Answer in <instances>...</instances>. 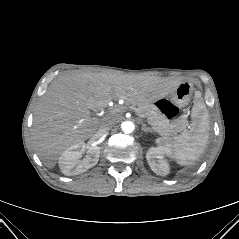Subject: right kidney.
<instances>
[{
	"label": "right kidney",
	"mask_w": 239,
	"mask_h": 239,
	"mask_svg": "<svg viewBox=\"0 0 239 239\" xmlns=\"http://www.w3.org/2000/svg\"><path fill=\"white\" fill-rule=\"evenodd\" d=\"M86 150V144L80 142L66 149L59 158V167L67 176L77 175L94 167L99 161L100 148L90 147L86 156L82 158Z\"/></svg>",
	"instance_id": "right-kidney-1"
}]
</instances>
